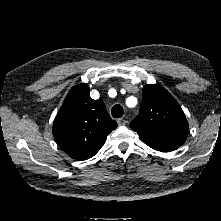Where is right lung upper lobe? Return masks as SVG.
I'll return each mask as SVG.
<instances>
[{
	"mask_svg": "<svg viewBox=\"0 0 221 221\" xmlns=\"http://www.w3.org/2000/svg\"><path fill=\"white\" fill-rule=\"evenodd\" d=\"M117 127L104 103L93 100L87 84L72 88L53 124V135L70 157L86 160L103 146L108 134Z\"/></svg>",
	"mask_w": 221,
	"mask_h": 221,
	"instance_id": "cb5924a9",
	"label": "right lung upper lobe"
}]
</instances>
